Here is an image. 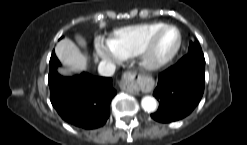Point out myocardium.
I'll return each mask as SVG.
<instances>
[{
	"label": "myocardium",
	"instance_id": "obj_1",
	"mask_svg": "<svg viewBox=\"0 0 247 145\" xmlns=\"http://www.w3.org/2000/svg\"><path fill=\"white\" fill-rule=\"evenodd\" d=\"M174 29L177 32L178 40L173 51L165 58L155 59L152 56L154 43L158 35L165 29ZM182 46V34L179 28L172 24H163L149 36L142 49L137 54L138 65L145 72L153 73L169 66L178 55Z\"/></svg>",
	"mask_w": 247,
	"mask_h": 145
}]
</instances>
